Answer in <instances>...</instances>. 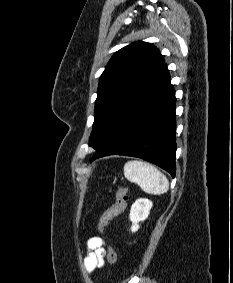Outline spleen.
Returning <instances> with one entry per match:
<instances>
[{"mask_svg":"<svg viewBox=\"0 0 233 283\" xmlns=\"http://www.w3.org/2000/svg\"><path fill=\"white\" fill-rule=\"evenodd\" d=\"M124 176L130 182L138 184L148 194L160 195L169 189V181L166 176L146 162L128 161L124 165Z\"/></svg>","mask_w":233,"mask_h":283,"instance_id":"spleen-1","label":"spleen"}]
</instances>
